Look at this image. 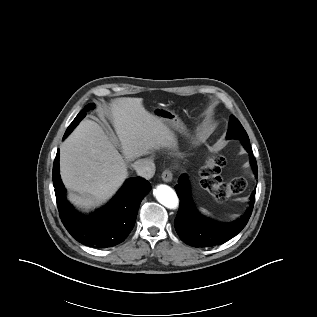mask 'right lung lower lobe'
Here are the masks:
<instances>
[{"label": "right lung lower lobe", "mask_w": 317, "mask_h": 317, "mask_svg": "<svg viewBox=\"0 0 317 317\" xmlns=\"http://www.w3.org/2000/svg\"><path fill=\"white\" fill-rule=\"evenodd\" d=\"M66 138V137H65ZM53 185L61 221L78 242L95 248H108L125 240L134 227L139 205L151 185L141 177L126 180L113 199L102 209L86 216L66 199L59 174V149L53 164Z\"/></svg>", "instance_id": "right-lung-lower-lobe-1"}]
</instances>
